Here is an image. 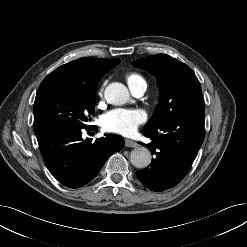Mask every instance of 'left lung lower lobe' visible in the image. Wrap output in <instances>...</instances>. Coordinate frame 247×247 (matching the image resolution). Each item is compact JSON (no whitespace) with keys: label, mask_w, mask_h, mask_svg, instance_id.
I'll return each instance as SVG.
<instances>
[{"label":"left lung lower lobe","mask_w":247,"mask_h":247,"mask_svg":"<svg viewBox=\"0 0 247 247\" xmlns=\"http://www.w3.org/2000/svg\"><path fill=\"white\" fill-rule=\"evenodd\" d=\"M204 117L188 116L169 120L155 130H143L152 140L151 164L136 172L150 190L161 192L177 185L189 172L204 141Z\"/></svg>","instance_id":"left-lung-lower-lobe-1"}]
</instances>
